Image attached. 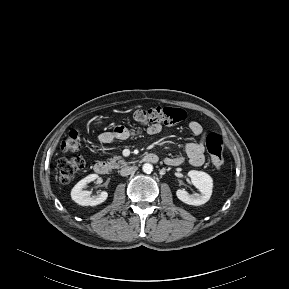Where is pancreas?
Masks as SVG:
<instances>
[{
    "mask_svg": "<svg viewBox=\"0 0 289 289\" xmlns=\"http://www.w3.org/2000/svg\"><path fill=\"white\" fill-rule=\"evenodd\" d=\"M109 163L114 167V168H118L119 164H126V162L124 160H122L121 156H115L112 159L109 160Z\"/></svg>",
    "mask_w": 289,
    "mask_h": 289,
    "instance_id": "cf45deb5",
    "label": "pancreas"
}]
</instances>
